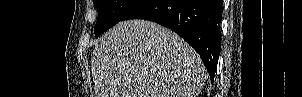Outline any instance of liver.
Masks as SVG:
<instances>
[{
    "label": "liver",
    "mask_w": 302,
    "mask_h": 97,
    "mask_svg": "<svg viewBox=\"0 0 302 97\" xmlns=\"http://www.w3.org/2000/svg\"><path fill=\"white\" fill-rule=\"evenodd\" d=\"M91 70L95 97H197L206 81L192 47L140 19L119 22L99 39Z\"/></svg>",
    "instance_id": "obj_1"
}]
</instances>
